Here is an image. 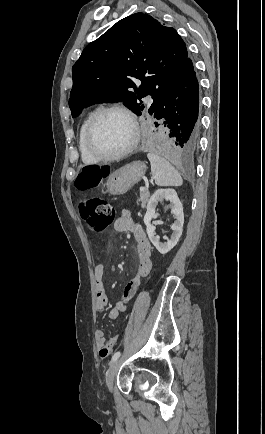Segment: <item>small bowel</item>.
<instances>
[{
	"mask_svg": "<svg viewBox=\"0 0 265 434\" xmlns=\"http://www.w3.org/2000/svg\"><path fill=\"white\" fill-rule=\"evenodd\" d=\"M114 228L118 232L131 233L136 240V248L139 266L134 277L123 286L122 296L116 306L109 312V318L116 320L120 313L127 310V304L136 295L140 286L141 279L146 277L152 267V246L147 237V234L140 226L139 223L132 217L128 210H124L121 215L116 219ZM105 266L100 263L95 267L94 276L96 279L95 296H96V310L98 312L104 310L109 304V298L106 293L104 284ZM95 343L97 348L100 349V341L107 340L103 330L95 331Z\"/></svg>",
	"mask_w": 265,
	"mask_h": 434,
	"instance_id": "1",
	"label": "small bowel"
}]
</instances>
